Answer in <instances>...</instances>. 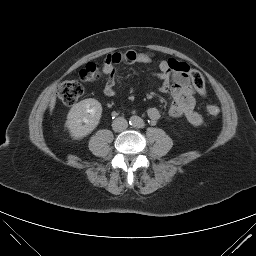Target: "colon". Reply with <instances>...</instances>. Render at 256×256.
<instances>
[{
    "instance_id": "colon-1",
    "label": "colon",
    "mask_w": 256,
    "mask_h": 256,
    "mask_svg": "<svg viewBox=\"0 0 256 256\" xmlns=\"http://www.w3.org/2000/svg\"><path fill=\"white\" fill-rule=\"evenodd\" d=\"M116 63V59L111 55H108L104 60V65H113ZM103 69V67H102ZM101 75V67L94 62L88 63L80 71V79L82 81H94L97 80ZM189 76L191 79L192 86L202 95H205V80L202 74L194 69H189ZM83 94V86L77 80H66L59 84L57 88V95L59 99L65 105H73ZM207 114L216 117L220 113V109L213 104H208L206 107Z\"/></svg>"
}]
</instances>
